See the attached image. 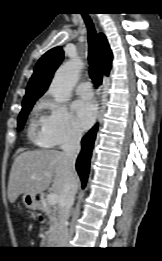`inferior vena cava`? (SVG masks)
<instances>
[{"mask_svg": "<svg viewBox=\"0 0 162 261\" xmlns=\"http://www.w3.org/2000/svg\"><path fill=\"white\" fill-rule=\"evenodd\" d=\"M82 138V133L79 131L72 132L68 140L62 145V150L64 153V158L66 160L67 166L70 170H75L76 158L80 152V141ZM77 192L76 184L69 179L64 191L61 196V209L59 211V247H67L69 241L68 232V218L70 215V210L74 204L75 194Z\"/></svg>", "mask_w": 162, "mask_h": 261, "instance_id": "602c4592", "label": "inferior vena cava"}]
</instances>
